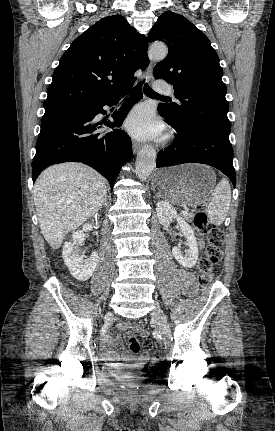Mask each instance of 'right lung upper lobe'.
<instances>
[{"mask_svg": "<svg viewBox=\"0 0 275 431\" xmlns=\"http://www.w3.org/2000/svg\"><path fill=\"white\" fill-rule=\"evenodd\" d=\"M148 42L121 16H108L77 37L60 59L44 109L117 96L132 87L148 64Z\"/></svg>", "mask_w": 275, "mask_h": 431, "instance_id": "1", "label": "right lung upper lobe"}]
</instances>
